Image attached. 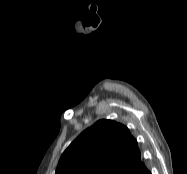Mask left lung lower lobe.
I'll list each match as a JSON object with an SVG mask.
<instances>
[{"label":"left lung lower lobe","instance_id":"1","mask_svg":"<svg viewBox=\"0 0 187 174\" xmlns=\"http://www.w3.org/2000/svg\"><path fill=\"white\" fill-rule=\"evenodd\" d=\"M136 174H151L148 170H147V168L145 167L144 169H142V170H138L137 172H136Z\"/></svg>","mask_w":187,"mask_h":174}]
</instances>
